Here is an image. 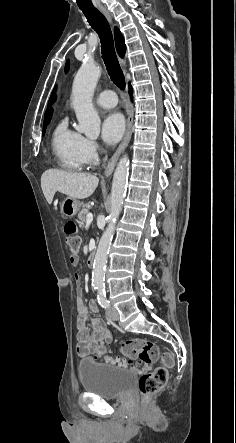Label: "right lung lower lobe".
Masks as SVG:
<instances>
[{
    "instance_id": "right-lung-lower-lobe-1",
    "label": "right lung lower lobe",
    "mask_w": 236,
    "mask_h": 443,
    "mask_svg": "<svg viewBox=\"0 0 236 443\" xmlns=\"http://www.w3.org/2000/svg\"><path fill=\"white\" fill-rule=\"evenodd\" d=\"M129 90H130V93L132 94V88H131L130 84H129Z\"/></svg>"
}]
</instances>
